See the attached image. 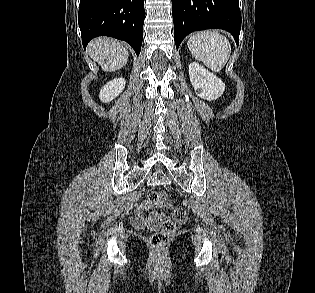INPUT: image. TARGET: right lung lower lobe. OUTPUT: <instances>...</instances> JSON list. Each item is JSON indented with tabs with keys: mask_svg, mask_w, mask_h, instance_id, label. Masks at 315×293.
<instances>
[{
	"mask_svg": "<svg viewBox=\"0 0 315 293\" xmlns=\"http://www.w3.org/2000/svg\"><path fill=\"white\" fill-rule=\"evenodd\" d=\"M144 18V0H80L83 47L97 36H110L126 41L139 55Z\"/></svg>",
	"mask_w": 315,
	"mask_h": 293,
	"instance_id": "98d812e1",
	"label": "right lung lower lobe"
}]
</instances>
